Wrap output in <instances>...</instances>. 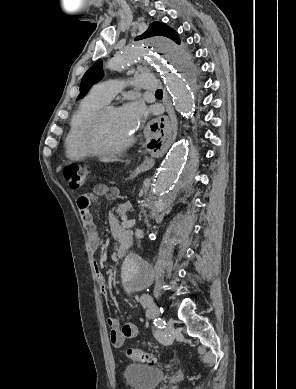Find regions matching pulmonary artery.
Returning <instances> with one entry per match:
<instances>
[{
  "instance_id": "1",
  "label": "pulmonary artery",
  "mask_w": 296,
  "mask_h": 389,
  "mask_svg": "<svg viewBox=\"0 0 296 389\" xmlns=\"http://www.w3.org/2000/svg\"><path fill=\"white\" fill-rule=\"evenodd\" d=\"M131 83L143 89L153 90L156 88L157 81L153 75L145 74L134 77L131 80ZM123 87V81L107 80L95 84L92 88V92L104 101L109 102L119 91L123 89Z\"/></svg>"
}]
</instances>
